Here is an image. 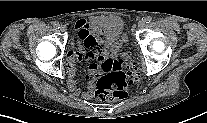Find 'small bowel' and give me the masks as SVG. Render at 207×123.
Masks as SVG:
<instances>
[{"instance_id": "1", "label": "small bowel", "mask_w": 207, "mask_h": 123, "mask_svg": "<svg viewBox=\"0 0 207 123\" xmlns=\"http://www.w3.org/2000/svg\"><path fill=\"white\" fill-rule=\"evenodd\" d=\"M75 29L77 31V38L72 43L70 49L67 53V63H68V88L73 93V95L84 99L93 98L94 90V76L97 73L98 66L92 64L89 66L87 73V90L80 91L78 88V83L76 81L77 66L76 62L86 61L88 59H98L100 62L103 60L100 57L102 50L106 52H111V50L105 48L102 39L98 33H94L89 26V23L85 19H80L75 23ZM84 47L88 51L84 50Z\"/></svg>"}]
</instances>
